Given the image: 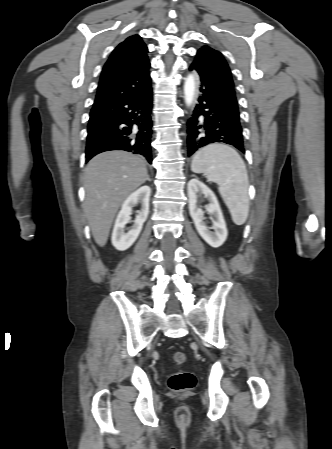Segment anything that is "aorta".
Masks as SVG:
<instances>
[{"label": "aorta", "mask_w": 332, "mask_h": 449, "mask_svg": "<svg viewBox=\"0 0 332 449\" xmlns=\"http://www.w3.org/2000/svg\"><path fill=\"white\" fill-rule=\"evenodd\" d=\"M196 91V81L194 74H189L184 82V100L187 106H191Z\"/></svg>", "instance_id": "obj_1"}]
</instances>
